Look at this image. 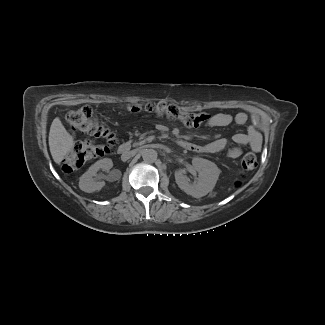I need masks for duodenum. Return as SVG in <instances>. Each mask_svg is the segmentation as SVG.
<instances>
[{
    "instance_id": "410a0bca",
    "label": "duodenum",
    "mask_w": 325,
    "mask_h": 325,
    "mask_svg": "<svg viewBox=\"0 0 325 325\" xmlns=\"http://www.w3.org/2000/svg\"><path fill=\"white\" fill-rule=\"evenodd\" d=\"M178 145H179V147L186 148V149L192 147V145L186 141H179ZM130 150H131V146L127 143H123L119 146L118 153L120 155H127L130 152Z\"/></svg>"
}]
</instances>
